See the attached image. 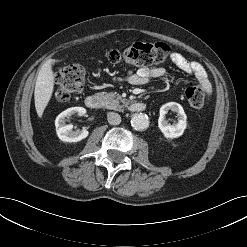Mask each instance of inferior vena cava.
<instances>
[{
  "label": "inferior vena cava",
  "instance_id": "602c4592",
  "mask_svg": "<svg viewBox=\"0 0 247 247\" xmlns=\"http://www.w3.org/2000/svg\"><path fill=\"white\" fill-rule=\"evenodd\" d=\"M107 120H108L109 124H111V125H118L121 122V117L118 113L109 112L107 114Z\"/></svg>",
  "mask_w": 247,
  "mask_h": 247
}]
</instances>
